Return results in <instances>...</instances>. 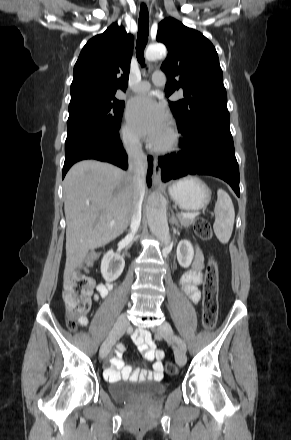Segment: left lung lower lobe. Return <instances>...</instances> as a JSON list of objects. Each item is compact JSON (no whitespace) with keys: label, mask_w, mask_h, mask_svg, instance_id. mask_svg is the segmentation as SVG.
<instances>
[{"label":"left lung lower lobe","mask_w":291,"mask_h":440,"mask_svg":"<svg viewBox=\"0 0 291 440\" xmlns=\"http://www.w3.org/2000/svg\"><path fill=\"white\" fill-rule=\"evenodd\" d=\"M229 125V117L211 118L183 133L182 150L158 162L163 181L188 174L212 175L226 181L240 196L239 166Z\"/></svg>","instance_id":"left-lung-lower-lobe-1"}]
</instances>
